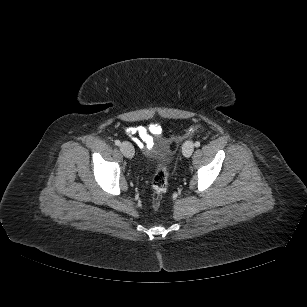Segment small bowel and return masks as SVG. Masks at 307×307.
<instances>
[{"label":"small bowel","mask_w":307,"mask_h":307,"mask_svg":"<svg viewBox=\"0 0 307 307\" xmlns=\"http://www.w3.org/2000/svg\"><path fill=\"white\" fill-rule=\"evenodd\" d=\"M126 133L129 136L137 135L139 137V140H136L137 145L146 151L152 150L156 144L160 146H165L166 144L161 138L162 129L157 123H151L147 127H128Z\"/></svg>","instance_id":"1"}]
</instances>
